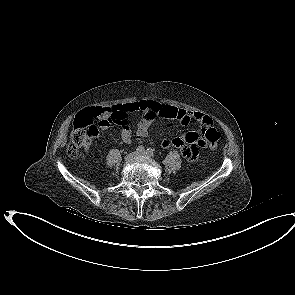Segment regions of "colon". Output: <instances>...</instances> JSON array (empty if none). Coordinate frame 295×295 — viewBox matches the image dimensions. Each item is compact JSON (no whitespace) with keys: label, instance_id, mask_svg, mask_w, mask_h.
Returning <instances> with one entry per match:
<instances>
[{"label":"colon","instance_id":"5ec220e1","mask_svg":"<svg viewBox=\"0 0 295 295\" xmlns=\"http://www.w3.org/2000/svg\"><path fill=\"white\" fill-rule=\"evenodd\" d=\"M109 113L108 108H94L78 115L73 122L70 135V143L67 148L68 155L75 159L79 156L80 149L90 144L98 134L97 123L100 117ZM204 138L209 149L214 152L217 149L218 131L211 125L203 127Z\"/></svg>","mask_w":295,"mask_h":295}]
</instances>
